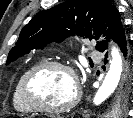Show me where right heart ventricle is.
<instances>
[{"label": "right heart ventricle", "mask_w": 133, "mask_h": 118, "mask_svg": "<svg viewBox=\"0 0 133 118\" xmlns=\"http://www.w3.org/2000/svg\"><path fill=\"white\" fill-rule=\"evenodd\" d=\"M43 63L42 59H38L32 64H30L28 67H26L21 74L19 75L14 88H13V93H12V101H13V106L16 111L22 114H29L33 112V109L25 102L23 93H22V84L23 81L26 77V75L34 69L36 66L40 65Z\"/></svg>", "instance_id": "1"}]
</instances>
